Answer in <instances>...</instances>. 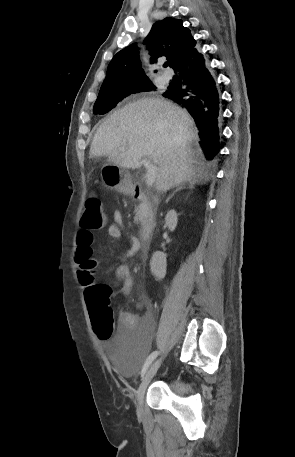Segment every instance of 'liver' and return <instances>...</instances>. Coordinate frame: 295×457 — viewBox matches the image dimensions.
<instances>
[{
	"label": "liver",
	"instance_id": "obj_1",
	"mask_svg": "<svg viewBox=\"0 0 295 457\" xmlns=\"http://www.w3.org/2000/svg\"><path fill=\"white\" fill-rule=\"evenodd\" d=\"M198 140V130L187 111L164 99L142 98L115 111L101 124L90 156H106L109 162L128 169H138L143 158L149 159L158 166L156 189L166 192L181 183L209 180Z\"/></svg>",
	"mask_w": 295,
	"mask_h": 457
}]
</instances>
